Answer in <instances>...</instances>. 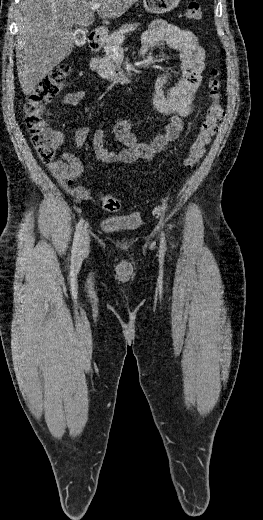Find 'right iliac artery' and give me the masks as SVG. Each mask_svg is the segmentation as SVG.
Here are the masks:
<instances>
[{"instance_id": "right-iliac-artery-1", "label": "right iliac artery", "mask_w": 263, "mask_h": 520, "mask_svg": "<svg viewBox=\"0 0 263 520\" xmlns=\"http://www.w3.org/2000/svg\"><path fill=\"white\" fill-rule=\"evenodd\" d=\"M82 226H83V219H81L78 223V225L76 226V231H75V234H74V240H73V245H72V253L73 255H75L78 251V246H79V238H80V234H81V231H82Z\"/></svg>"}]
</instances>
